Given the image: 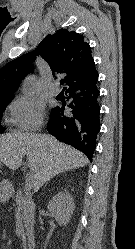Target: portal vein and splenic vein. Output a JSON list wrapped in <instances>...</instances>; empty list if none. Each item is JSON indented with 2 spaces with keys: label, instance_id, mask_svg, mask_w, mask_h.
Masks as SVG:
<instances>
[{
  "label": "portal vein and splenic vein",
  "instance_id": "18ae733b",
  "mask_svg": "<svg viewBox=\"0 0 135 249\" xmlns=\"http://www.w3.org/2000/svg\"><path fill=\"white\" fill-rule=\"evenodd\" d=\"M33 187V176L30 175L27 179H26V188L27 189H31Z\"/></svg>",
  "mask_w": 135,
  "mask_h": 249
}]
</instances>
